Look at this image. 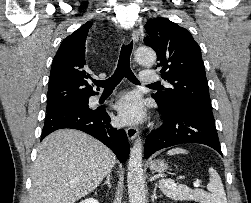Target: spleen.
Returning <instances> with one entry per match:
<instances>
[{
  "instance_id": "obj_1",
  "label": "spleen",
  "mask_w": 251,
  "mask_h": 203,
  "mask_svg": "<svg viewBox=\"0 0 251 203\" xmlns=\"http://www.w3.org/2000/svg\"><path fill=\"white\" fill-rule=\"evenodd\" d=\"M182 148H173L167 152L168 155L186 154ZM210 179L207 185L209 192L202 189H190L186 185L176 184L172 179L159 181V188L168 198L172 200H195L200 203H227L225 190L219 174L214 168H209Z\"/></svg>"
}]
</instances>
